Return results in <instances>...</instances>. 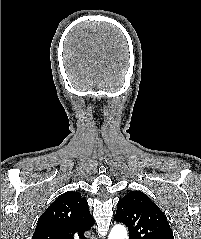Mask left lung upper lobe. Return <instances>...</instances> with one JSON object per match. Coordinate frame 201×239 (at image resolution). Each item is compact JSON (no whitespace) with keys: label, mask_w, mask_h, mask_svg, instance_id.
Segmentation results:
<instances>
[{"label":"left lung upper lobe","mask_w":201,"mask_h":239,"mask_svg":"<svg viewBox=\"0 0 201 239\" xmlns=\"http://www.w3.org/2000/svg\"><path fill=\"white\" fill-rule=\"evenodd\" d=\"M114 219L129 229V239H174L166 216L144 193L130 191L118 202Z\"/></svg>","instance_id":"1"}]
</instances>
